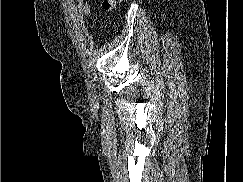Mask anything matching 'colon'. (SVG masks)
I'll list each match as a JSON object with an SVG mask.
<instances>
[{"mask_svg":"<svg viewBox=\"0 0 243 182\" xmlns=\"http://www.w3.org/2000/svg\"><path fill=\"white\" fill-rule=\"evenodd\" d=\"M123 1L124 0H102L101 7L107 14H110Z\"/></svg>","mask_w":243,"mask_h":182,"instance_id":"1","label":"colon"}]
</instances>
